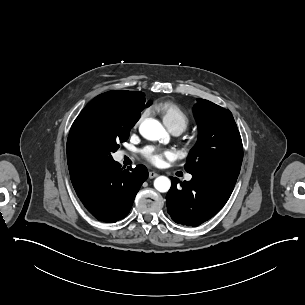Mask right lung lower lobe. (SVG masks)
I'll list each match as a JSON object with an SVG mask.
<instances>
[{
	"instance_id": "obj_1",
	"label": "right lung lower lobe",
	"mask_w": 305,
	"mask_h": 305,
	"mask_svg": "<svg viewBox=\"0 0 305 305\" xmlns=\"http://www.w3.org/2000/svg\"><path fill=\"white\" fill-rule=\"evenodd\" d=\"M120 169L117 162L103 167L88 166L70 174L77 196L99 221L114 223L126 217L148 171L142 165Z\"/></svg>"
}]
</instances>
